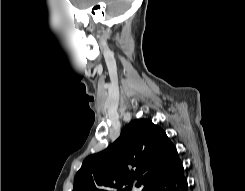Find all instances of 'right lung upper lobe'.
<instances>
[{
    "mask_svg": "<svg viewBox=\"0 0 245 191\" xmlns=\"http://www.w3.org/2000/svg\"><path fill=\"white\" fill-rule=\"evenodd\" d=\"M181 161L165 132L149 120L130 122L104 151L88 156L73 191H129L132 184L150 189L173 173Z\"/></svg>",
    "mask_w": 245,
    "mask_h": 191,
    "instance_id": "1",
    "label": "right lung upper lobe"
}]
</instances>
